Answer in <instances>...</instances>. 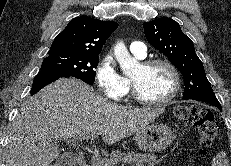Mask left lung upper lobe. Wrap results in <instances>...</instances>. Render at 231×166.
I'll return each mask as SVG.
<instances>
[{
    "label": "left lung upper lobe",
    "instance_id": "5c2ea615",
    "mask_svg": "<svg viewBox=\"0 0 231 166\" xmlns=\"http://www.w3.org/2000/svg\"><path fill=\"white\" fill-rule=\"evenodd\" d=\"M143 27L149 43L165 54L183 74V99L215 97L193 42L182 32L176 21L163 17L143 23Z\"/></svg>",
    "mask_w": 231,
    "mask_h": 166
}]
</instances>
